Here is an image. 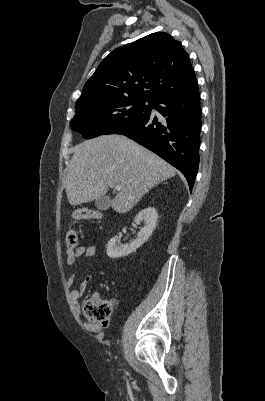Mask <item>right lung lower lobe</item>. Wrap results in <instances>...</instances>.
<instances>
[{
  "label": "right lung lower lobe",
  "mask_w": 265,
  "mask_h": 401,
  "mask_svg": "<svg viewBox=\"0 0 265 401\" xmlns=\"http://www.w3.org/2000/svg\"><path fill=\"white\" fill-rule=\"evenodd\" d=\"M153 108L164 118L150 114L113 134L133 139L176 167L191 191L199 167L201 106L197 82L155 101Z\"/></svg>",
  "instance_id": "1"
}]
</instances>
